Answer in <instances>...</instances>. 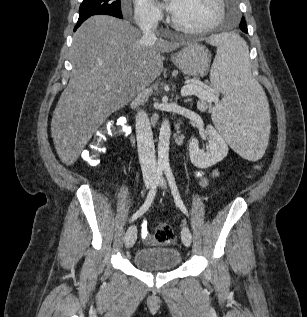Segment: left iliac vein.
Wrapping results in <instances>:
<instances>
[{
	"label": "left iliac vein",
	"instance_id": "obj_1",
	"mask_svg": "<svg viewBox=\"0 0 307 317\" xmlns=\"http://www.w3.org/2000/svg\"><path fill=\"white\" fill-rule=\"evenodd\" d=\"M160 186L162 188L166 187V181L164 178H161ZM182 242L186 247H189L192 241V234L190 229L187 226H184L181 231Z\"/></svg>",
	"mask_w": 307,
	"mask_h": 317
}]
</instances>
